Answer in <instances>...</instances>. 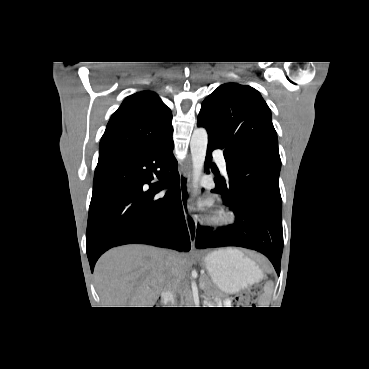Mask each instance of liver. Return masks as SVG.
<instances>
[{"label": "liver", "instance_id": "6515ba94", "mask_svg": "<svg viewBox=\"0 0 369 369\" xmlns=\"http://www.w3.org/2000/svg\"><path fill=\"white\" fill-rule=\"evenodd\" d=\"M173 258L167 264V256ZM183 254L144 245L113 248L98 260L94 277L103 307H153L168 285L186 275Z\"/></svg>", "mask_w": 369, "mask_h": 369}]
</instances>
